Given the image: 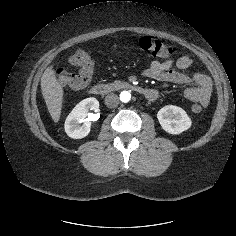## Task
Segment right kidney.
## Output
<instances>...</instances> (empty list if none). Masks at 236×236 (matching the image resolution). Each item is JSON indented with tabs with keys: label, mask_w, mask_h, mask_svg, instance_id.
<instances>
[{
	"label": "right kidney",
	"mask_w": 236,
	"mask_h": 236,
	"mask_svg": "<svg viewBox=\"0 0 236 236\" xmlns=\"http://www.w3.org/2000/svg\"><path fill=\"white\" fill-rule=\"evenodd\" d=\"M90 110L99 111V102L96 98H86L73 108L64 125L69 137L81 139L90 133L91 121L98 119L97 114L89 113Z\"/></svg>",
	"instance_id": "ca27d5eb"
}]
</instances>
